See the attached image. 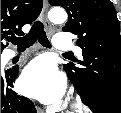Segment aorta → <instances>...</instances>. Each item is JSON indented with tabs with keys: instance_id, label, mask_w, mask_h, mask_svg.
<instances>
[{
	"instance_id": "762f6f07",
	"label": "aorta",
	"mask_w": 121,
	"mask_h": 113,
	"mask_svg": "<svg viewBox=\"0 0 121 113\" xmlns=\"http://www.w3.org/2000/svg\"><path fill=\"white\" fill-rule=\"evenodd\" d=\"M48 17L51 22L60 24L66 21L67 13L62 8H53L49 11Z\"/></svg>"
}]
</instances>
